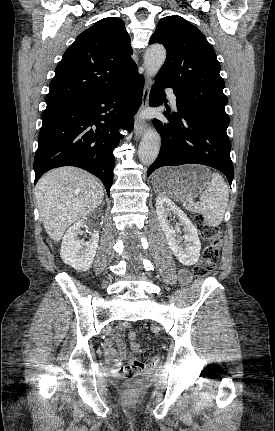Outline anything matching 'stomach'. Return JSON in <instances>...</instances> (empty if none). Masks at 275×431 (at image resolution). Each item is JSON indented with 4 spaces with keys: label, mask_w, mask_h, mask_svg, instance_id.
Wrapping results in <instances>:
<instances>
[{
    "label": "stomach",
    "mask_w": 275,
    "mask_h": 431,
    "mask_svg": "<svg viewBox=\"0 0 275 431\" xmlns=\"http://www.w3.org/2000/svg\"><path fill=\"white\" fill-rule=\"evenodd\" d=\"M210 171L202 165L164 167L152 177V185L157 193L167 195L177 201L197 197L210 181Z\"/></svg>",
    "instance_id": "0dacf381"
}]
</instances>
